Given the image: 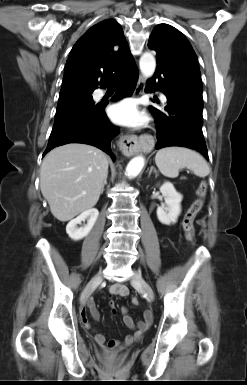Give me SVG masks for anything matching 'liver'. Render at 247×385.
<instances>
[{"instance_id":"6515ba94","label":"liver","mask_w":247,"mask_h":385,"mask_svg":"<svg viewBox=\"0 0 247 385\" xmlns=\"http://www.w3.org/2000/svg\"><path fill=\"white\" fill-rule=\"evenodd\" d=\"M107 174L103 151L87 144H65L45 156L40 188L53 216L66 222L96 205Z\"/></svg>"}]
</instances>
